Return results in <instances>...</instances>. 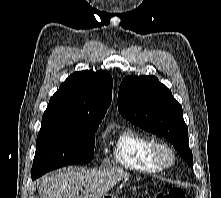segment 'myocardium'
I'll use <instances>...</instances> for the list:
<instances>
[{
  "label": "myocardium",
  "instance_id": "obj_1",
  "mask_svg": "<svg viewBox=\"0 0 221 198\" xmlns=\"http://www.w3.org/2000/svg\"><path fill=\"white\" fill-rule=\"evenodd\" d=\"M150 156L161 168H168L174 164L176 154L172 146L166 141L154 139L150 145Z\"/></svg>",
  "mask_w": 221,
  "mask_h": 198
}]
</instances>
